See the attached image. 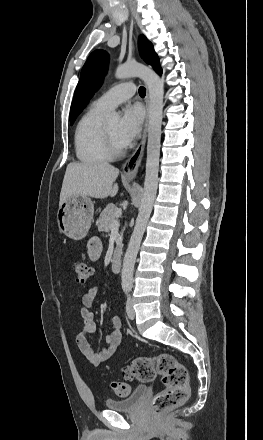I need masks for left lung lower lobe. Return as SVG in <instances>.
Listing matches in <instances>:
<instances>
[{
    "instance_id": "1",
    "label": "left lung lower lobe",
    "mask_w": 263,
    "mask_h": 440,
    "mask_svg": "<svg viewBox=\"0 0 263 440\" xmlns=\"http://www.w3.org/2000/svg\"><path fill=\"white\" fill-rule=\"evenodd\" d=\"M155 71L156 72H158L159 74H162V69H161V67L159 66V67H157L156 69H155Z\"/></svg>"
}]
</instances>
